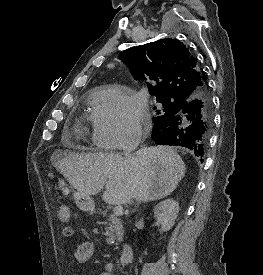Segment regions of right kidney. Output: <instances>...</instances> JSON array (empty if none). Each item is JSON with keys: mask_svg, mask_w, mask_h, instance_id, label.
Wrapping results in <instances>:
<instances>
[{"mask_svg": "<svg viewBox=\"0 0 263 275\" xmlns=\"http://www.w3.org/2000/svg\"><path fill=\"white\" fill-rule=\"evenodd\" d=\"M178 213L179 203L173 199L159 202L154 208V216L164 232L174 226Z\"/></svg>", "mask_w": 263, "mask_h": 275, "instance_id": "obj_1", "label": "right kidney"}]
</instances>
